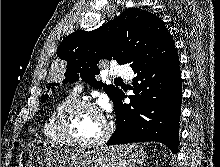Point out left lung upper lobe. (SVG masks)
Returning <instances> with one entry per match:
<instances>
[{
	"instance_id": "obj_1",
	"label": "left lung upper lobe",
	"mask_w": 220,
	"mask_h": 167,
	"mask_svg": "<svg viewBox=\"0 0 220 167\" xmlns=\"http://www.w3.org/2000/svg\"><path fill=\"white\" fill-rule=\"evenodd\" d=\"M174 48L173 37L158 16L130 8L98 29L78 30L68 35L57 54L67 62L63 83L82 79L97 89L103 88L115 103L122 90L95 79L100 72L97 67L100 59H115L118 64L128 63L135 68L164 57ZM56 86L58 83L48 84L47 92ZM47 98L43 95L41 102Z\"/></svg>"
}]
</instances>
